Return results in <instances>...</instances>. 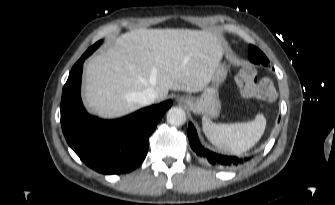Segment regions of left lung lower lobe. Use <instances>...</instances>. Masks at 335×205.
<instances>
[{"mask_svg":"<svg viewBox=\"0 0 335 205\" xmlns=\"http://www.w3.org/2000/svg\"><path fill=\"white\" fill-rule=\"evenodd\" d=\"M188 138L192 149L196 152L197 155L204 157L211 165L213 166H233L238 165L242 161L238 160L236 157H226L220 156L210 152L209 150L204 149L199 142L196 129L194 126L189 123L188 126Z\"/></svg>","mask_w":335,"mask_h":205,"instance_id":"left-lung-lower-lobe-1","label":"left lung lower lobe"}]
</instances>
